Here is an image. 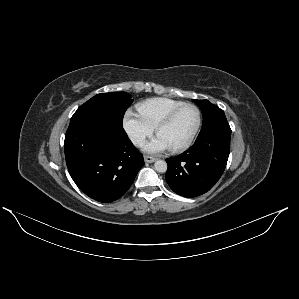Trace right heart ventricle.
Returning <instances> with one entry per match:
<instances>
[{"label":"right heart ventricle","mask_w":299,"mask_h":299,"mask_svg":"<svg viewBox=\"0 0 299 299\" xmlns=\"http://www.w3.org/2000/svg\"><path fill=\"white\" fill-rule=\"evenodd\" d=\"M184 104L183 101L166 97L147 99L137 105L138 114L151 126L156 128L158 123L173 109Z\"/></svg>","instance_id":"e07e8e85"}]
</instances>
